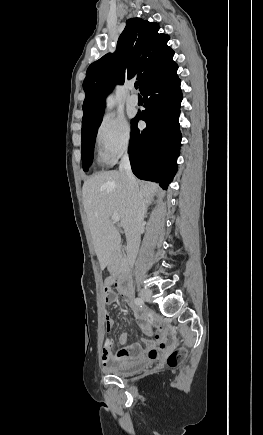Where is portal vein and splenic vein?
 Wrapping results in <instances>:
<instances>
[{
    "label": "portal vein and splenic vein",
    "instance_id": "portal-vein-and-splenic-vein-1",
    "mask_svg": "<svg viewBox=\"0 0 263 435\" xmlns=\"http://www.w3.org/2000/svg\"><path fill=\"white\" fill-rule=\"evenodd\" d=\"M111 219H112L113 222H119L120 221V217L117 214L111 215Z\"/></svg>",
    "mask_w": 263,
    "mask_h": 435
}]
</instances>
